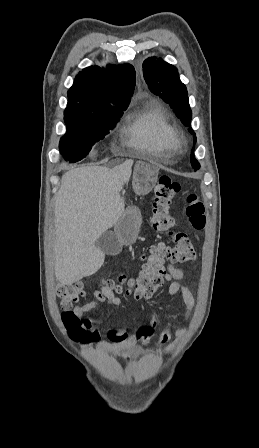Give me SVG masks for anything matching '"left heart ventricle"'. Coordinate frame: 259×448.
Masks as SVG:
<instances>
[{"instance_id": "obj_1", "label": "left heart ventricle", "mask_w": 259, "mask_h": 448, "mask_svg": "<svg viewBox=\"0 0 259 448\" xmlns=\"http://www.w3.org/2000/svg\"><path fill=\"white\" fill-rule=\"evenodd\" d=\"M146 153H148V154H151V155H153L154 154V152L153 151H145Z\"/></svg>"}]
</instances>
